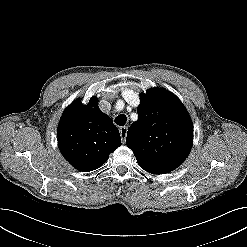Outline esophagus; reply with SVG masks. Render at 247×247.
<instances>
[{
  "label": "esophagus",
  "instance_id": "1",
  "mask_svg": "<svg viewBox=\"0 0 247 247\" xmlns=\"http://www.w3.org/2000/svg\"><path fill=\"white\" fill-rule=\"evenodd\" d=\"M119 131H120L122 143L124 144L127 136L128 127L127 126L120 127Z\"/></svg>",
  "mask_w": 247,
  "mask_h": 247
}]
</instances>
